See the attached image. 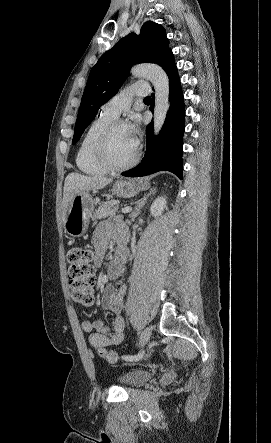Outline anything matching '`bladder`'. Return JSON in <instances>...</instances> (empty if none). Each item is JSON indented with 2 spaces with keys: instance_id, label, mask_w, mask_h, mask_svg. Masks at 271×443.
Returning <instances> with one entry per match:
<instances>
[{
  "instance_id": "31cf9c89",
  "label": "bladder",
  "mask_w": 271,
  "mask_h": 443,
  "mask_svg": "<svg viewBox=\"0 0 271 443\" xmlns=\"http://www.w3.org/2000/svg\"><path fill=\"white\" fill-rule=\"evenodd\" d=\"M151 377L147 370H131L117 377V382L123 387H136L146 382Z\"/></svg>"
}]
</instances>
